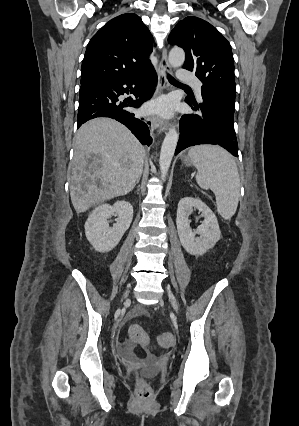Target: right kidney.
I'll list each match as a JSON object with an SVG mask.
<instances>
[{
	"label": "right kidney",
	"instance_id": "1",
	"mask_svg": "<svg viewBox=\"0 0 299 426\" xmlns=\"http://www.w3.org/2000/svg\"><path fill=\"white\" fill-rule=\"evenodd\" d=\"M114 214L118 218L110 228L107 219ZM132 219L133 207L129 202L120 200L113 205L102 204L92 211L85 223L86 238L96 251H111L130 227Z\"/></svg>",
	"mask_w": 299,
	"mask_h": 426
}]
</instances>
